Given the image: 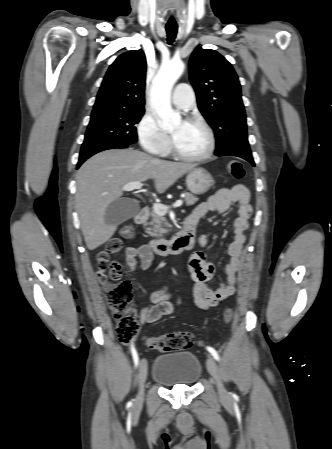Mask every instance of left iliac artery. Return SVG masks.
I'll list each match as a JSON object with an SVG mask.
<instances>
[{
	"mask_svg": "<svg viewBox=\"0 0 332 449\" xmlns=\"http://www.w3.org/2000/svg\"><path fill=\"white\" fill-rule=\"evenodd\" d=\"M207 350L211 353V355L214 357V359H216L217 361H219V355L217 353V351L212 348V347H207Z\"/></svg>",
	"mask_w": 332,
	"mask_h": 449,
	"instance_id": "obj_1",
	"label": "left iliac artery"
}]
</instances>
